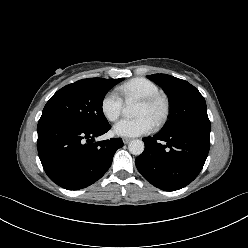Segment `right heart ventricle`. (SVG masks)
Listing matches in <instances>:
<instances>
[{"label": "right heart ventricle", "instance_id": "obj_1", "mask_svg": "<svg viewBox=\"0 0 248 248\" xmlns=\"http://www.w3.org/2000/svg\"><path fill=\"white\" fill-rule=\"evenodd\" d=\"M119 93L127 101L140 100L161 94L159 87L149 79L133 78L118 87Z\"/></svg>", "mask_w": 248, "mask_h": 248}]
</instances>
